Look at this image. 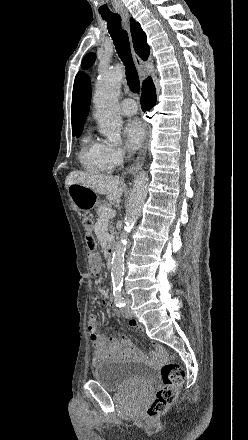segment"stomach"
Listing matches in <instances>:
<instances>
[{
    "label": "stomach",
    "instance_id": "0dacf381",
    "mask_svg": "<svg viewBox=\"0 0 248 440\" xmlns=\"http://www.w3.org/2000/svg\"><path fill=\"white\" fill-rule=\"evenodd\" d=\"M68 195L78 210H89L99 204L97 193L79 184L70 185Z\"/></svg>",
    "mask_w": 248,
    "mask_h": 440
}]
</instances>
